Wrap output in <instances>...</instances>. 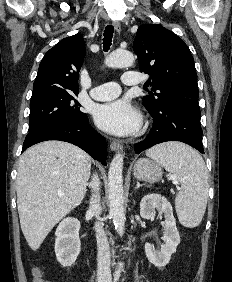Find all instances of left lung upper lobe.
Instances as JSON below:
<instances>
[{
	"mask_svg": "<svg viewBox=\"0 0 232 282\" xmlns=\"http://www.w3.org/2000/svg\"><path fill=\"white\" fill-rule=\"evenodd\" d=\"M133 50L141 72L150 75L152 91L143 97L148 109H159L176 97L198 98L197 74L188 46L161 25H143L136 34Z\"/></svg>",
	"mask_w": 232,
	"mask_h": 282,
	"instance_id": "obj_1",
	"label": "left lung upper lobe"
}]
</instances>
